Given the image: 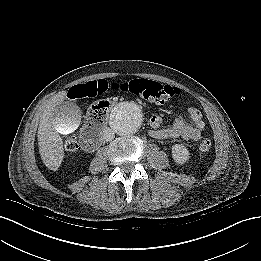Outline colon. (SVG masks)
Returning <instances> with one entry per match:
<instances>
[{"label": "colon", "instance_id": "colon-1", "mask_svg": "<svg viewBox=\"0 0 261 261\" xmlns=\"http://www.w3.org/2000/svg\"><path fill=\"white\" fill-rule=\"evenodd\" d=\"M129 93L141 97L147 101L154 103H164L179 94V89L171 85H163L158 82L137 78L122 82H108L106 80H94L85 84L74 86L69 95L76 99L85 97H96L106 92ZM110 103L108 101H98L92 104L87 112V121L90 126L102 124L110 111ZM79 141L75 137H70L65 142V149L70 153H74L79 149ZM212 148V141L206 137L199 143V150L207 153Z\"/></svg>", "mask_w": 261, "mask_h": 261}]
</instances>
